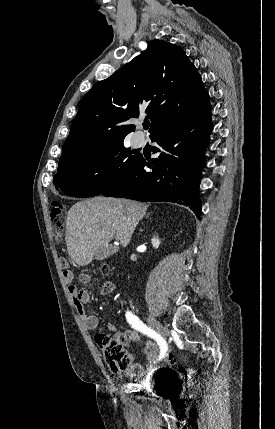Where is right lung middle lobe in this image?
I'll use <instances>...</instances> for the list:
<instances>
[{
    "label": "right lung middle lobe",
    "mask_w": 275,
    "mask_h": 429,
    "mask_svg": "<svg viewBox=\"0 0 275 429\" xmlns=\"http://www.w3.org/2000/svg\"><path fill=\"white\" fill-rule=\"evenodd\" d=\"M123 146V140L88 152L58 168L53 181L67 195H100L123 180L140 159Z\"/></svg>",
    "instance_id": "right-lung-middle-lobe-1"
}]
</instances>
